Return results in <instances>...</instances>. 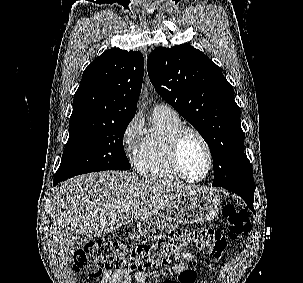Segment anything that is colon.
I'll use <instances>...</instances> for the list:
<instances>
[{
  "label": "colon",
  "mask_w": 303,
  "mask_h": 283,
  "mask_svg": "<svg viewBox=\"0 0 303 283\" xmlns=\"http://www.w3.org/2000/svg\"><path fill=\"white\" fill-rule=\"evenodd\" d=\"M222 216L227 232L212 228L190 229L172 238L149 244H129L114 239H101L88 243L79 249L73 258V269L85 271L89 277H98L103 271L125 270L144 271L149 268L167 265L186 248L193 247L205 255L220 258L228 240H237L251 228L247 210L233 204H225ZM195 271L186 269L177 279L164 283H195Z\"/></svg>",
  "instance_id": "colon-1"
}]
</instances>
